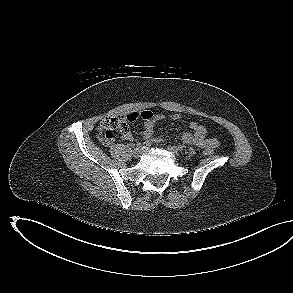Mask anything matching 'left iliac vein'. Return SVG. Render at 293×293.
I'll use <instances>...</instances> for the list:
<instances>
[{
    "instance_id": "left-iliac-vein-1",
    "label": "left iliac vein",
    "mask_w": 293,
    "mask_h": 293,
    "mask_svg": "<svg viewBox=\"0 0 293 293\" xmlns=\"http://www.w3.org/2000/svg\"><path fill=\"white\" fill-rule=\"evenodd\" d=\"M168 150L174 154H178L179 149L176 146H169Z\"/></svg>"
}]
</instances>
